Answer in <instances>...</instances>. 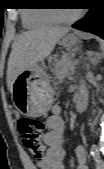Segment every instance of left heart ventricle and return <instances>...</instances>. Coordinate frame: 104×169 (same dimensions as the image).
I'll return each mask as SVG.
<instances>
[{"label": "left heart ventricle", "instance_id": "obj_1", "mask_svg": "<svg viewBox=\"0 0 104 169\" xmlns=\"http://www.w3.org/2000/svg\"><path fill=\"white\" fill-rule=\"evenodd\" d=\"M76 12V10L74 9H60L59 13L64 16V17H68L73 15Z\"/></svg>", "mask_w": 104, "mask_h": 169}]
</instances>
